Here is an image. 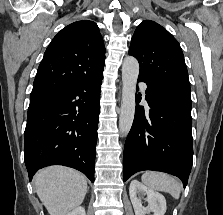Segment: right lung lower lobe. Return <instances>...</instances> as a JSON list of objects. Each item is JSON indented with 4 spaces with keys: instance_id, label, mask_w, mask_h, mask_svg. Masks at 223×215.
<instances>
[{
    "instance_id": "obj_1",
    "label": "right lung lower lobe",
    "mask_w": 223,
    "mask_h": 215,
    "mask_svg": "<svg viewBox=\"0 0 223 215\" xmlns=\"http://www.w3.org/2000/svg\"><path fill=\"white\" fill-rule=\"evenodd\" d=\"M102 79L101 72L64 92L30 102L24 132L30 181L40 168L64 165L94 182Z\"/></svg>"
}]
</instances>
